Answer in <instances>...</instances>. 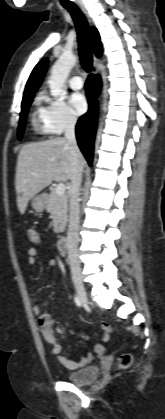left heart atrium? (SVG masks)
<instances>
[{
  "mask_svg": "<svg viewBox=\"0 0 165 419\" xmlns=\"http://www.w3.org/2000/svg\"><path fill=\"white\" fill-rule=\"evenodd\" d=\"M70 103L78 115L83 114L87 109L86 99L81 93L72 94Z\"/></svg>",
  "mask_w": 165,
  "mask_h": 419,
  "instance_id": "39dd6f15",
  "label": "left heart atrium"
}]
</instances>
